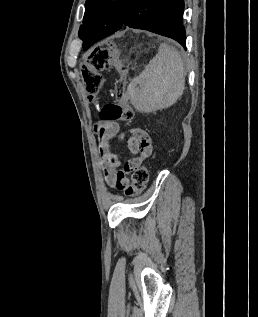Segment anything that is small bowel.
<instances>
[{
    "mask_svg": "<svg viewBox=\"0 0 258 317\" xmlns=\"http://www.w3.org/2000/svg\"><path fill=\"white\" fill-rule=\"evenodd\" d=\"M95 132L99 140V152L105 179L116 189H123L128 185V175L132 170L139 168L151 156L154 142L148 132L141 128H131L119 134V125L116 122L101 121L95 125ZM117 136V141L126 140L133 157L119 169L120 161L113 152L110 140Z\"/></svg>",
    "mask_w": 258,
    "mask_h": 317,
    "instance_id": "small-bowel-1",
    "label": "small bowel"
}]
</instances>
